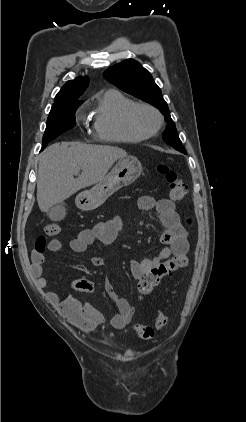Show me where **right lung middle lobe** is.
I'll return each instance as SVG.
<instances>
[{
	"label": "right lung middle lobe",
	"mask_w": 246,
	"mask_h": 422,
	"mask_svg": "<svg viewBox=\"0 0 246 422\" xmlns=\"http://www.w3.org/2000/svg\"><path fill=\"white\" fill-rule=\"evenodd\" d=\"M81 104L72 103L51 108L43 135L42 150L50 141L75 126V112Z\"/></svg>",
	"instance_id": "dd1d6c3e"
}]
</instances>
